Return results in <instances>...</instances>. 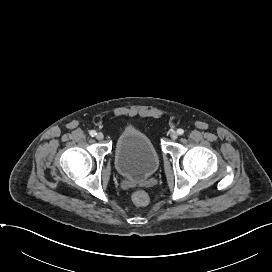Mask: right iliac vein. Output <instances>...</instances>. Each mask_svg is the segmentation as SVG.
<instances>
[{"label":"right iliac vein","mask_w":272,"mask_h":272,"mask_svg":"<svg viewBox=\"0 0 272 272\" xmlns=\"http://www.w3.org/2000/svg\"><path fill=\"white\" fill-rule=\"evenodd\" d=\"M103 138H104L103 133L98 132V133L96 134V139H97V140H102Z\"/></svg>","instance_id":"1"}]
</instances>
